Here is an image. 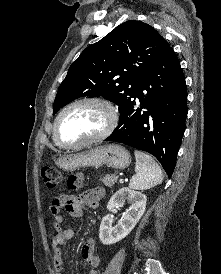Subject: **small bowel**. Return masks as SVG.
<instances>
[{"instance_id":"c3829d8e","label":"small bowel","mask_w":221,"mask_h":274,"mask_svg":"<svg viewBox=\"0 0 221 274\" xmlns=\"http://www.w3.org/2000/svg\"><path fill=\"white\" fill-rule=\"evenodd\" d=\"M104 191L100 188L87 190L75 196L59 195L52 199L50 211L53 214V227L55 233L51 240V250L53 254V265L57 274L63 273L62 247L74 236L73 229L62 227L64 217L61 214L65 209L69 215L75 218L83 216L85 207L97 208ZM82 258L89 265L88 274H98L96 268L100 264V257L95 253V242L88 239L82 247Z\"/></svg>"}]
</instances>
